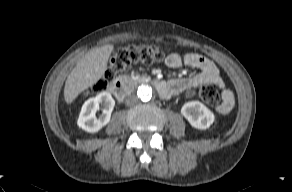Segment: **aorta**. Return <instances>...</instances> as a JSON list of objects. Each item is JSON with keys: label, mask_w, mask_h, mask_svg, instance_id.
Segmentation results:
<instances>
[{"label": "aorta", "mask_w": 292, "mask_h": 192, "mask_svg": "<svg viewBox=\"0 0 292 192\" xmlns=\"http://www.w3.org/2000/svg\"><path fill=\"white\" fill-rule=\"evenodd\" d=\"M153 90L148 84H142L137 89L138 98L143 102H148L152 98Z\"/></svg>", "instance_id": "aorta-1"}]
</instances>
